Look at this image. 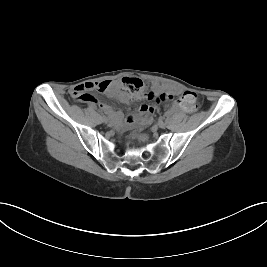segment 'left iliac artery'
Returning <instances> with one entry per match:
<instances>
[{
	"label": "left iliac artery",
	"instance_id": "44dca946",
	"mask_svg": "<svg viewBox=\"0 0 267 267\" xmlns=\"http://www.w3.org/2000/svg\"><path fill=\"white\" fill-rule=\"evenodd\" d=\"M163 121H165L166 123H169L170 119L167 117V118H163L162 119Z\"/></svg>",
	"mask_w": 267,
	"mask_h": 267
}]
</instances>
